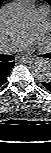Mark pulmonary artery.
<instances>
[{"label": "pulmonary artery", "mask_w": 51, "mask_h": 153, "mask_svg": "<svg viewBox=\"0 0 51 153\" xmlns=\"http://www.w3.org/2000/svg\"><path fill=\"white\" fill-rule=\"evenodd\" d=\"M49 11L41 6L33 13L29 30L22 36L9 39L1 44V50L7 53L26 49L33 41L41 38L47 29Z\"/></svg>", "instance_id": "obj_1"}]
</instances>
